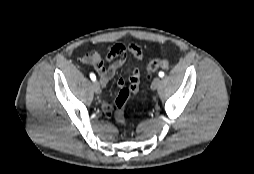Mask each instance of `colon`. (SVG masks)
I'll use <instances>...</instances> for the list:
<instances>
[{"label":"colon","instance_id":"1","mask_svg":"<svg viewBox=\"0 0 254 174\" xmlns=\"http://www.w3.org/2000/svg\"><path fill=\"white\" fill-rule=\"evenodd\" d=\"M169 62L166 59H152L147 64L148 72H154L159 69H167ZM133 93L131 86H124L120 89L119 94L115 100V114L116 122L121 126L127 125V119L124 114V109L129 96Z\"/></svg>","mask_w":254,"mask_h":174}]
</instances>
